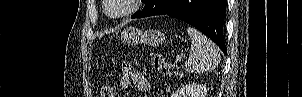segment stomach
Returning <instances> with one entry per match:
<instances>
[{"mask_svg": "<svg viewBox=\"0 0 302 97\" xmlns=\"http://www.w3.org/2000/svg\"><path fill=\"white\" fill-rule=\"evenodd\" d=\"M121 40L128 45L146 44L158 47L165 41V36L158 30L142 31L136 27H127L121 33Z\"/></svg>", "mask_w": 302, "mask_h": 97, "instance_id": "obj_1", "label": "stomach"}]
</instances>
